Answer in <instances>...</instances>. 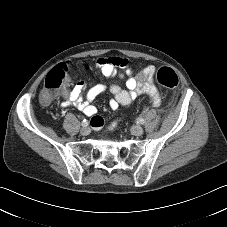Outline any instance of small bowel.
I'll return each instance as SVG.
<instances>
[{
    "label": "small bowel",
    "instance_id": "small-bowel-1",
    "mask_svg": "<svg viewBox=\"0 0 227 227\" xmlns=\"http://www.w3.org/2000/svg\"><path fill=\"white\" fill-rule=\"evenodd\" d=\"M65 66L67 65L65 64ZM96 67L105 77L117 75L121 80H124L125 89L118 84L88 86L86 82L80 81L71 89L62 90V107H76L86 116H94L97 113V109L93 102L97 96L106 90L113 95L109 103L112 109H116L119 106H129L138 95H147L154 106L158 105L160 96L152 80L155 72L154 66H147L137 75H134L132 66L128 61L118 57L107 56L98 58Z\"/></svg>",
    "mask_w": 227,
    "mask_h": 227
}]
</instances>
